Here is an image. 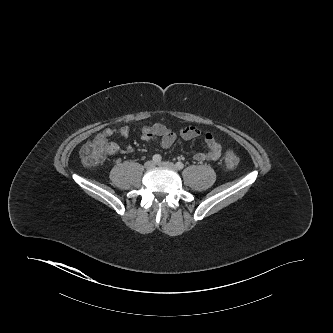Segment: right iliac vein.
Segmentation results:
<instances>
[{
  "mask_svg": "<svg viewBox=\"0 0 333 333\" xmlns=\"http://www.w3.org/2000/svg\"><path fill=\"white\" fill-rule=\"evenodd\" d=\"M144 166L146 169H152V168H154L155 163L152 160H149L144 164Z\"/></svg>",
  "mask_w": 333,
  "mask_h": 333,
  "instance_id": "obj_1",
  "label": "right iliac vein"
}]
</instances>
